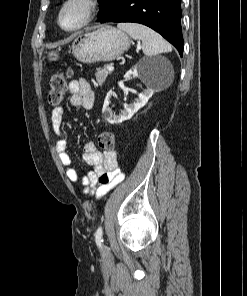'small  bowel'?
I'll use <instances>...</instances> for the list:
<instances>
[{
    "mask_svg": "<svg viewBox=\"0 0 247 296\" xmlns=\"http://www.w3.org/2000/svg\"><path fill=\"white\" fill-rule=\"evenodd\" d=\"M68 92L71 106L85 109L92 108L94 104V92L86 80L80 78L70 81ZM64 113L65 111L62 106L55 107L51 112V125L57 137L55 149L65 170V175L71 183H81L83 194L94 195L96 199L105 200L109 191L122 179L120 170L117 167L115 154L114 152L103 153L99 151L94 142L86 143L83 149V159L91 165L92 169L84 175L81 174L72 165L67 151L69 134L62 129ZM104 175L109 176L107 183L100 182V178Z\"/></svg>",
    "mask_w": 247,
    "mask_h": 296,
    "instance_id": "obj_1",
    "label": "small bowel"
}]
</instances>
